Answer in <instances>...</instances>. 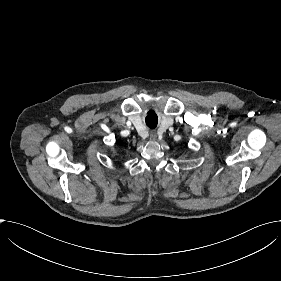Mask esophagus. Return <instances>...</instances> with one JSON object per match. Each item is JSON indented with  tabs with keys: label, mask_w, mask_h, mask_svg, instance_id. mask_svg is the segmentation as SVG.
Returning <instances> with one entry per match:
<instances>
[{
	"label": "esophagus",
	"mask_w": 281,
	"mask_h": 281,
	"mask_svg": "<svg viewBox=\"0 0 281 281\" xmlns=\"http://www.w3.org/2000/svg\"><path fill=\"white\" fill-rule=\"evenodd\" d=\"M150 138H151L152 140H155V139L157 138V133H156L155 130H151V131H150Z\"/></svg>",
	"instance_id": "esophagus-1"
}]
</instances>
